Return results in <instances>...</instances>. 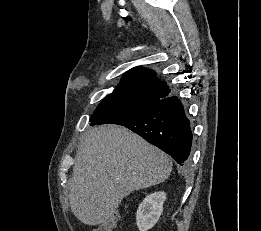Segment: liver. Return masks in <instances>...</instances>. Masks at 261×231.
Masks as SVG:
<instances>
[{"label":"liver","instance_id":"6515ba94","mask_svg":"<svg viewBox=\"0 0 261 231\" xmlns=\"http://www.w3.org/2000/svg\"><path fill=\"white\" fill-rule=\"evenodd\" d=\"M171 171L167 154L127 128L95 127L75 157L69 180L71 211L84 224L104 223L124 197L164 182Z\"/></svg>","mask_w":261,"mask_h":231}]
</instances>
